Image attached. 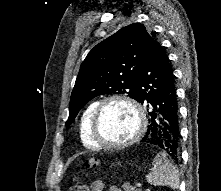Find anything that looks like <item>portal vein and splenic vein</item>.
Segmentation results:
<instances>
[{
  "label": "portal vein and splenic vein",
  "instance_id": "portal-vein-and-splenic-vein-1",
  "mask_svg": "<svg viewBox=\"0 0 221 191\" xmlns=\"http://www.w3.org/2000/svg\"><path fill=\"white\" fill-rule=\"evenodd\" d=\"M136 186L140 188L142 186V183L139 182L136 184Z\"/></svg>",
  "mask_w": 221,
  "mask_h": 191
}]
</instances>
